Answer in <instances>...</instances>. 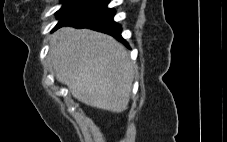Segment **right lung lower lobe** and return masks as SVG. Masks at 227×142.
I'll list each match as a JSON object with an SVG mask.
<instances>
[{
  "label": "right lung lower lobe",
  "mask_w": 227,
  "mask_h": 142,
  "mask_svg": "<svg viewBox=\"0 0 227 142\" xmlns=\"http://www.w3.org/2000/svg\"><path fill=\"white\" fill-rule=\"evenodd\" d=\"M114 9L103 8L88 15L58 24L55 29L69 25L76 28H90L114 36L126 43L121 37V26L113 21ZM127 44V43H126Z\"/></svg>",
  "instance_id": "1"
}]
</instances>
